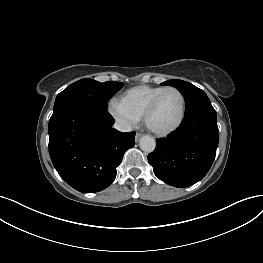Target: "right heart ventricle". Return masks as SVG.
Masks as SVG:
<instances>
[{
    "mask_svg": "<svg viewBox=\"0 0 263 263\" xmlns=\"http://www.w3.org/2000/svg\"><path fill=\"white\" fill-rule=\"evenodd\" d=\"M164 88V86H136L123 94L121 102L130 112L141 118L150 101Z\"/></svg>",
    "mask_w": 263,
    "mask_h": 263,
    "instance_id": "right-heart-ventricle-1",
    "label": "right heart ventricle"
}]
</instances>
